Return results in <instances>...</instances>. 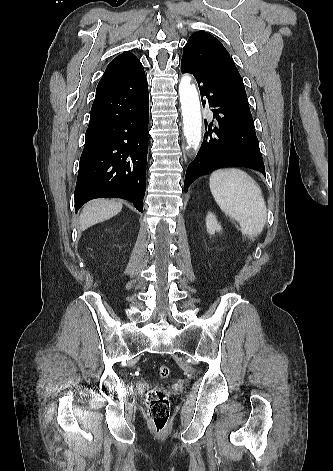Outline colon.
Here are the masks:
<instances>
[{"label": "colon", "instance_id": "1", "mask_svg": "<svg viewBox=\"0 0 333 471\" xmlns=\"http://www.w3.org/2000/svg\"><path fill=\"white\" fill-rule=\"evenodd\" d=\"M170 374L169 366L162 365L159 368L158 376L161 379H167ZM147 404L154 430L157 433H163L166 430L170 416V400L167 393L161 389L148 392Z\"/></svg>", "mask_w": 333, "mask_h": 471}]
</instances>
